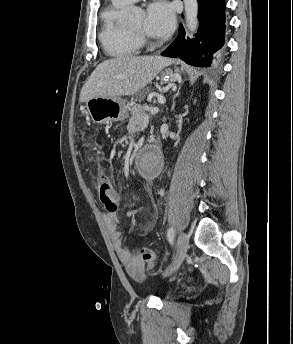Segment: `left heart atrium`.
<instances>
[{
  "mask_svg": "<svg viewBox=\"0 0 293 344\" xmlns=\"http://www.w3.org/2000/svg\"><path fill=\"white\" fill-rule=\"evenodd\" d=\"M175 16L171 6L163 1L149 5L145 20L144 32L154 38H166L174 30Z\"/></svg>",
  "mask_w": 293,
  "mask_h": 344,
  "instance_id": "obj_1",
  "label": "left heart atrium"
}]
</instances>
